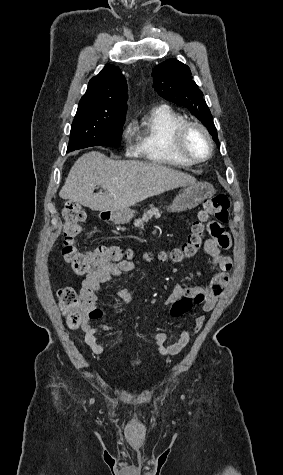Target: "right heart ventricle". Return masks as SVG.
<instances>
[{
    "label": "right heart ventricle",
    "instance_id": "obj_1",
    "mask_svg": "<svg viewBox=\"0 0 283 475\" xmlns=\"http://www.w3.org/2000/svg\"><path fill=\"white\" fill-rule=\"evenodd\" d=\"M184 121L185 117L170 106L154 107L145 118L134 124L139 157L154 163L165 162L161 146L171 144V132Z\"/></svg>",
    "mask_w": 283,
    "mask_h": 475
}]
</instances>
